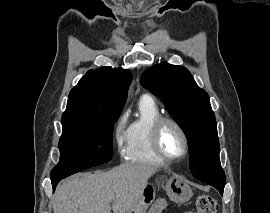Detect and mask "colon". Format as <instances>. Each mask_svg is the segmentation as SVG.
Instances as JSON below:
<instances>
[{
  "label": "colon",
  "mask_w": 270,
  "mask_h": 213,
  "mask_svg": "<svg viewBox=\"0 0 270 213\" xmlns=\"http://www.w3.org/2000/svg\"><path fill=\"white\" fill-rule=\"evenodd\" d=\"M196 209L193 213H216L217 202L209 195H200L196 199Z\"/></svg>",
  "instance_id": "1"
}]
</instances>
